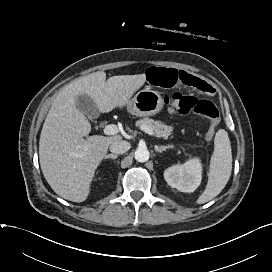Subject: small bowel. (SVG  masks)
<instances>
[{
	"label": "small bowel",
	"instance_id": "c3829d8e",
	"mask_svg": "<svg viewBox=\"0 0 272 272\" xmlns=\"http://www.w3.org/2000/svg\"><path fill=\"white\" fill-rule=\"evenodd\" d=\"M147 80L151 84L162 88L184 86L205 93L213 91V86L206 81L186 71L173 68H150L147 70Z\"/></svg>",
	"mask_w": 272,
	"mask_h": 272
}]
</instances>
